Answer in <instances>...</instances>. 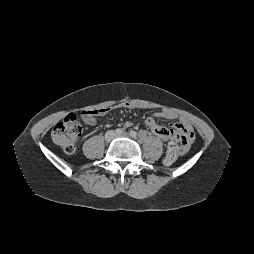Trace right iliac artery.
Returning a JSON list of instances; mask_svg holds the SVG:
<instances>
[{
    "label": "right iliac artery",
    "instance_id": "1",
    "mask_svg": "<svg viewBox=\"0 0 254 254\" xmlns=\"http://www.w3.org/2000/svg\"><path fill=\"white\" fill-rule=\"evenodd\" d=\"M116 134H118V135L123 134V130H122V129H120V128L116 129Z\"/></svg>",
    "mask_w": 254,
    "mask_h": 254
}]
</instances>
